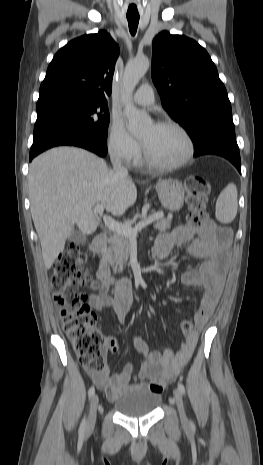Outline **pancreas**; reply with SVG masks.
I'll use <instances>...</instances> for the list:
<instances>
[{
  "instance_id": "1",
  "label": "pancreas",
  "mask_w": 263,
  "mask_h": 465,
  "mask_svg": "<svg viewBox=\"0 0 263 465\" xmlns=\"http://www.w3.org/2000/svg\"><path fill=\"white\" fill-rule=\"evenodd\" d=\"M171 227V218H159L154 228L165 232ZM109 247L103 252V258L107 261L114 272H122L123 266L129 259L130 238L122 234L114 233L108 240Z\"/></svg>"
}]
</instances>
